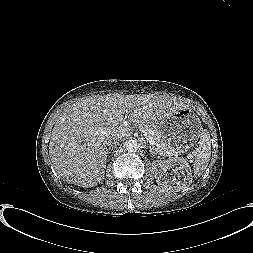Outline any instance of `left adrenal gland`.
I'll list each match as a JSON object with an SVG mask.
<instances>
[{
	"instance_id": "a2214340",
	"label": "left adrenal gland",
	"mask_w": 253,
	"mask_h": 253,
	"mask_svg": "<svg viewBox=\"0 0 253 253\" xmlns=\"http://www.w3.org/2000/svg\"><path fill=\"white\" fill-rule=\"evenodd\" d=\"M149 148H150V153L152 154V155H155V154H157L156 152H155V150H154V147L153 146H149Z\"/></svg>"
}]
</instances>
